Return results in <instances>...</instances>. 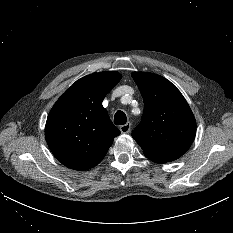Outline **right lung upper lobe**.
<instances>
[{"label":"right lung upper lobe","mask_w":233,"mask_h":233,"mask_svg":"<svg viewBox=\"0 0 233 233\" xmlns=\"http://www.w3.org/2000/svg\"><path fill=\"white\" fill-rule=\"evenodd\" d=\"M116 71L93 73L77 80L54 104L45 138L54 156L74 170H87L104 158L120 130L102 106L120 81Z\"/></svg>","instance_id":"cb5924a9"}]
</instances>
